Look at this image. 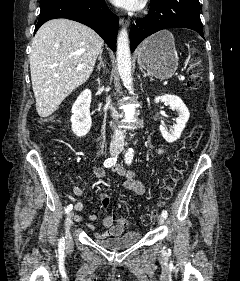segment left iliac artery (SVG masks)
Returning a JSON list of instances; mask_svg holds the SVG:
<instances>
[{"mask_svg":"<svg viewBox=\"0 0 240 281\" xmlns=\"http://www.w3.org/2000/svg\"><path fill=\"white\" fill-rule=\"evenodd\" d=\"M133 157H134V150H133V148H129L128 151L125 154V162H126L127 165H130L132 163ZM162 216L164 218H167L168 213H167L166 210L162 211Z\"/></svg>","mask_w":240,"mask_h":281,"instance_id":"obj_1","label":"left iliac artery"}]
</instances>
